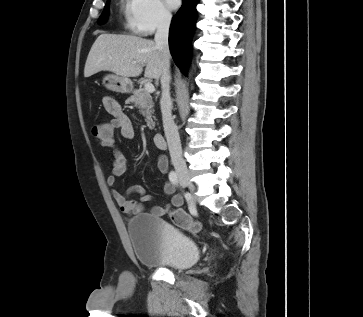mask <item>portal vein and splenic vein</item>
Listing matches in <instances>:
<instances>
[{"label": "portal vein and splenic vein", "instance_id": "1", "mask_svg": "<svg viewBox=\"0 0 363 317\" xmlns=\"http://www.w3.org/2000/svg\"><path fill=\"white\" fill-rule=\"evenodd\" d=\"M144 89L148 92V93H153L155 91L154 85L150 82L145 83L144 85Z\"/></svg>", "mask_w": 363, "mask_h": 317}]
</instances>
